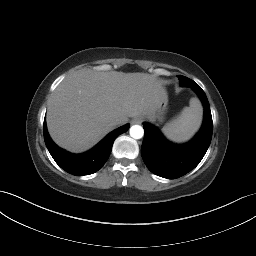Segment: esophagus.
<instances>
[{"mask_svg": "<svg viewBox=\"0 0 256 256\" xmlns=\"http://www.w3.org/2000/svg\"><path fill=\"white\" fill-rule=\"evenodd\" d=\"M141 122H142V118L141 117H135L131 121L132 124H140Z\"/></svg>", "mask_w": 256, "mask_h": 256, "instance_id": "34e87169", "label": "esophagus"}]
</instances>
